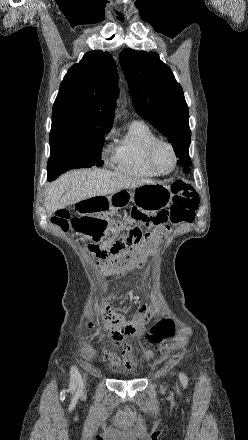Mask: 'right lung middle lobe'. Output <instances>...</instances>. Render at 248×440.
<instances>
[{
    "label": "right lung middle lobe",
    "instance_id": "dd1d6c3e",
    "mask_svg": "<svg viewBox=\"0 0 248 440\" xmlns=\"http://www.w3.org/2000/svg\"><path fill=\"white\" fill-rule=\"evenodd\" d=\"M109 131H96L80 139L50 146L48 181L55 180L59 175L71 169L100 167L103 164L101 152L104 135Z\"/></svg>",
    "mask_w": 248,
    "mask_h": 440
}]
</instances>
